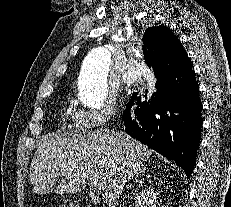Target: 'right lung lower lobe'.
<instances>
[{
	"label": "right lung lower lobe",
	"instance_id": "obj_1",
	"mask_svg": "<svg viewBox=\"0 0 231 207\" xmlns=\"http://www.w3.org/2000/svg\"><path fill=\"white\" fill-rule=\"evenodd\" d=\"M155 28H148L143 39ZM155 77V89L148 101L141 102L138 92L132 94L123 111L125 132L176 162L189 178L196 161L202 125V104L192 65L160 69L155 71Z\"/></svg>",
	"mask_w": 231,
	"mask_h": 207
}]
</instances>
